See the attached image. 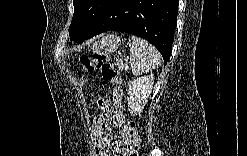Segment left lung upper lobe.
<instances>
[{
    "label": "left lung upper lobe",
    "mask_w": 247,
    "mask_h": 156,
    "mask_svg": "<svg viewBox=\"0 0 247 156\" xmlns=\"http://www.w3.org/2000/svg\"><path fill=\"white\" fill-rule=\"evenodd\" d=\"M112 0H73L74 14L69 27L70 39L82 43L106 12Z\"/></svg>",
    "instance_id": "5c2ea615"
}]
</instances>
